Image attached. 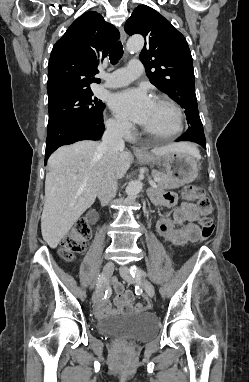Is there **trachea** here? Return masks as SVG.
I'll use <instances>...</instances> for the list:
<instances>
[{
  "label": "trachea",
  "instance_id": "1",
  "mask_svg": "<svg viewBox=\"0 0 249 382\" xmlns=\"http://www.w3.org/2000/svg\"><path fill=\"white\" fill-rule=\"evenodd\" d=\"M123 56V46L122 43L119 41L114 44L112 47L110 53H109V59L112 64H116L121 57Z\"/></svg>",
  "mask_w": 249,
  "mask_h": 382
}]
</instances>
